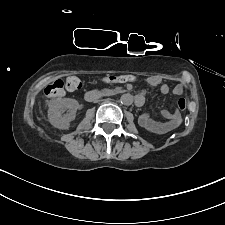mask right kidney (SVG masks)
Wrapping results in <instances>:
<instances>
[{
  "label": "right kidney",
  "instance_id": "ca27d5eb",
  "mask_svg": "<svg viewBox=\"0 0 225 225\" xmlns=\"http://www.w3.org/2000/svg\"><path fill=\"white\" fill-rule=\"evenodd\" d=\"M78 106V102L71 98H57L51 100L48 110L49 122L58 129H68L70 122L75 119ZM66 109H68V113L62 116L61 114Z\"/></svg>",
  "mask_w": 225,
  "mask_h": 225
}]
</instances>
